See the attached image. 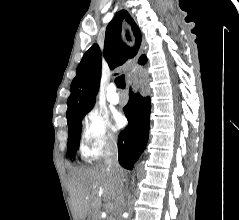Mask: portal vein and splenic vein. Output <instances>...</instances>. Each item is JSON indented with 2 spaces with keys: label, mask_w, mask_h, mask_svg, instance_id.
Returning a JSON list of instances; mask_svg holds the SVG:
<instances>
[{
  "label": "portal vein and splenic vein",
  "mask_w": 239,
  "mask_h": 220,
  "mask_svg": "<svg viewBox=\"0 0 239 220\" xmlns=\"http://www.w3.org/2000/svg\"><path fill=\"white\" fill-rule=\"evenodd\" d=\"M110 206H111V208H113V205H112V204H110Z\"/></svg>",
  "instance_id": "portal-vein-and-splenic-vein-1"
}]
</instances>
